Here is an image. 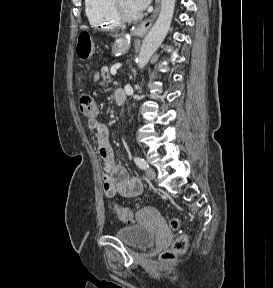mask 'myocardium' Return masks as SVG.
I'll list each match as a JSON object with an SVG mask.
<instances>
[{"label":"myocardium","mask_w":273,"mask_h":288,"mask_svg":"<svg viewBox=\"0 0 273 288\" xmlns=\"http://www.w3.org/2000/svg\"><path fill=\"white\" fill-rule=\"evenodd\" d=\"M111 7L116 19L122 23H134L141 19V14L128 15L125 13L119 5V0H111Z\"/></svg>","instance_id":"f54148a6"}]
</instances>
